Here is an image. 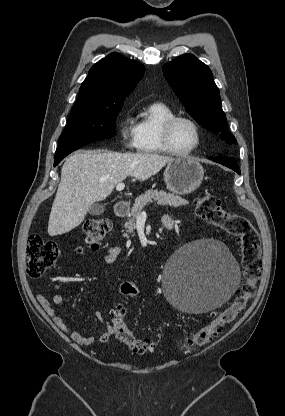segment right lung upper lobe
Instances as JSON below:
<instances>
[{"label": "right lung upper lobe", "mask_w": 285, "mask_h": 416, "mask_svg": "<svg viewBox=\"0 0 285 416\" xmlns=\"http://www.w3.org/2000/svg\"><path fill=\"white\" fill-rule=\"evenodd\" d=\"M145 67L118 53H111L89 70L80 87L78 104L98 105L123 102L142 78Z\"/></svg>", "instance_id": "cb5924a9"}]
</instances>
